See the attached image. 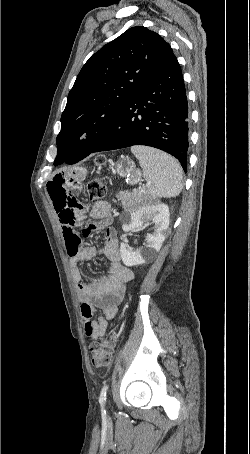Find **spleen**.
Wrapping results in <instances>:
<instances>
[{"label": "spleen", "mask_w": 250, "mask_h": 454, "mask_svg": "<svg viewBox=\"0 0 250 454\" xmlns=\"http://www.w3.org/2000/svg\"><path fill=\"white\" fill-rule=\"evenodd\" d=\"M132 153L139 160L147 193L152 198H171L182 190L183 172L172 156L146 146H132Z\"/></svg>", "instance_id": "1"}]
</instances>
